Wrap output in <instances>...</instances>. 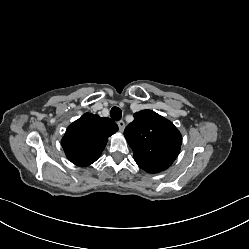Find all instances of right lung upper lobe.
Returning <instances> with one entry per match:
<instances>
[{
	"label": "right lung upper lobe",
	"instance_id": "obj_1",
	"mask_svg": "<svg viewBox=\"0 0 249 249\" xmlns=\"http://www.w3.org/2000/svg\"><path fill=\"white\" fill-rule=\"evenodd\" d=\"M118 126L109 118L85 113L67 128L62 146L67 158L78 166L95 162L104 150L108 137Z\"/></svg>",
	"mask_w": 249,
	"mask_h": 249
}]
</instances>
